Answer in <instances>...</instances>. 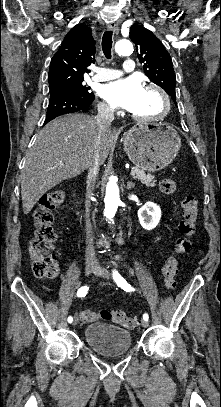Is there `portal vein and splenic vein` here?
I'll list each match as a JSON object with an SVG mask.
<instances>
[{
  "label": "portal vein and splenic vein",
  "instance_id": "18ae733b",
  "mask_svg": "<svg viewBox=\"0 0 221 407\" xmlns=\"http://www.w3.org/2000/svg\"><path fill=\"white\" fill-rule=\"evenodd\" d=\"M130 175H132V176L135 175V172H134V171H131V172H130Z\"/></svg>",
  "mask_w": 221,
  "mask_h": 407
}]
</instances>
